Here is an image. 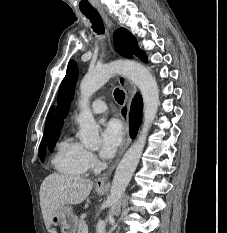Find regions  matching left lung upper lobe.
<instances>
[{
  "label": "left lung upper lobe",
  "mask_w": 227,
  "mask_h": 233,
  "mask_svg": "<svg viewBox=\"0 0 227 233\" xmlns=\"http://www.w3.org/2000/svg\"><path fill=\"white\" fill-rule=\"evenodd\" d=\"M114 44L118 53L126 58L138 56L146 61L145 54L138 48L135 37L125 28H120L114 33ZM78 78V67L75 61L71 60L68 64L66 76L61 82L58 98L55 123L52 129V135L49 142L50 151L54 148L59 138L60 130L63 125V119L67 116L71 100L74 96L75 84Z\"/></svg>",
  "instance_id": "obj_1"
}]
</instances>
